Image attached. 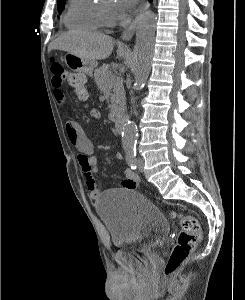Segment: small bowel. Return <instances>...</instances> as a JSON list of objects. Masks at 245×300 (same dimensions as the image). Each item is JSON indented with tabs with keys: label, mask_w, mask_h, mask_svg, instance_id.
Instances as JSON below:
<instances>
[{
	"label": "small bowel",
	"mask_w": 245,
	"mask_h": 300,
	"mask_svg": "<svg viewBox=\"0 0 245 300\" xmlns=\"http://www.w3.org/2000/svg\"><path fill=\"white\" fill-rule=\"evenodd\" d=\"M62 81L60 78L53 76L52 86L56 103L59 106L66 104V97L62 90ZM88 116L93 120H99L101 113L98 109L86 106ZM66 133L70 143L78 150L77 162L81 169L87 189L92 198L97 199L101 195L97 179V157L94 154V145L87 137L81 125L72 119L66 121ZM116 160H122L121 153H115ZM139 181V176L136 172L127 169L124 173V179L121 182V187L124 189H134Z\"/></svg>",
	"instance_id": "1"
}]
</instances>
